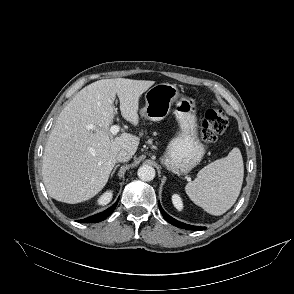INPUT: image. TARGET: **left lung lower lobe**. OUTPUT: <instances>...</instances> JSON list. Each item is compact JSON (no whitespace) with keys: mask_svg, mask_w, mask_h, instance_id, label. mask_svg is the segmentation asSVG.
<instances>
[{"mask_svg":"<svg viewBox=\"0 0 294 294\" xmlns=\"http://www.w3.org/2000/svg\"><path fill=\"white\" fill-rule=\"evenodd\" d=\"M159 208H160V211L163 215V217L169 222L171 223L172 225H175L179 228H182V229H189V230H204L206 229L205 227H197V226H192V225H187L185 223H182V222H179L177 220H175L174 218H172L171 216H169L161 207V205L159 204Z\"/></svg>","mask_w":294,"mask_h":294,"instance_id":"1","label":"left lung lower lobe"}]
</instances>
